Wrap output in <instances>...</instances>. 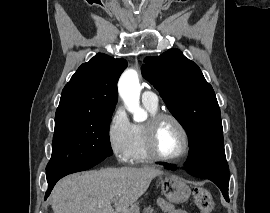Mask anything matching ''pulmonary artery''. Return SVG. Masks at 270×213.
Returning a JSON list of instances; mask_svg holds the SVG:
<instances>
[{
	"label": "pulmonary artery",
	"instance_id": "1",
	"mask_svg": "<svg viewBox=\"0 0 270 213\" xmlns=\"http://www.w3.org/2000/svg\"><path fill=\"white\" fill-rule=\"evenodd\" d=\"M142 101L153 107L158 106V97L153 91H150V90H145L142 93Z\"/></svg>",
	"mask_w": 270,
	"mask_h": 213
}]
</instances>
